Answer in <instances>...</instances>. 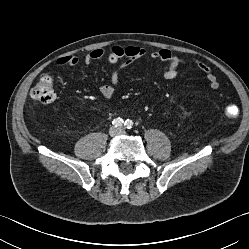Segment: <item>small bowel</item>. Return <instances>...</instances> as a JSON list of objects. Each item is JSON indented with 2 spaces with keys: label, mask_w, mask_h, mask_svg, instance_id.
<instances>
[{
  "label": "small bowel",
  "mask_w": 249,
  "mask_h": 249,
  "mask_svg": "<svg viewBox=\"0 0 249 249\" xmlns=\"http://www.w3.org/2000/svg\"><path fill=\"white\" fill-rule=\"evenodd\" d=\"M146 56L153 60L160 61L163 64L162 75L164 78L169 80L174 79L177 76L178 70L181 66L188 64V60L175 54L169 49L161 48L148 52L145 48L138 45L125 47L113 46L107 52L104 49L96 48L83 57V63L90 64L106 57L107 61L114 65L110 72L111 83L99 87L101 95L107 99H111L115 96L116 88L119 85L121 71L134 61ZM122 60L124 62L119 64ZM79 61V58L75 55L63 56L56 60V65L59 67H73L76 66ZM193 62L206 75L210 88L212 90H217L219 88V81L216 75L212 72L210 66L199 58H193Z\"/></svg>",
  "instance_id": "c3829d8e"
}]
</instances>
